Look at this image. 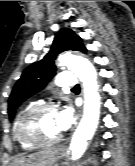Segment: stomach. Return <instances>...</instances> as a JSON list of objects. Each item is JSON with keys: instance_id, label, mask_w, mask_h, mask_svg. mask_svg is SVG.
Wrapping results in <instances>:
<instances>
[{"instance_id": "0dacf381", "label": "stomach", "mask_w": 135, "mask_h": 166, "mask_svg": "<svg viewBox=\"0 0 135 166\" xmlns=\"http://www.w3.org/2000/svg\"><path fill=\"white\" fill-rule=\"evenodd\" d=\"M62 150L59 148L47 149L45 156L37 157L32 160L29 166H57V161L62 157Z\"/></svg>"}]
</instances>
